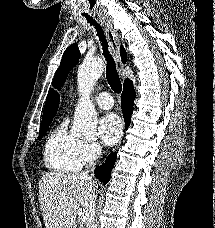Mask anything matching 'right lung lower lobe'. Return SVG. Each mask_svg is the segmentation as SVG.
<instances>
[{
	"mask_svg": "<svg viewBox=\"0 0 215 228\" xmlns=\"http://www.w3.org/2000/svg\"><path fill=\"white\" fill-rule=\"evenodd\" d=\"M135 91L131 80L126 79L123 85V93L121 95V108L125 121V128L127 129L134 106ZM116 161V153H111L105 163L97 167L94 171L95 176L104 184L108 183L111 177V171Z\"/></svg>",
	"mask_w": 215,
	"mask_h": 228,
	"instance_id": "98d812e1",
	"label": "right lung lower lobe"
}]
</instances>
